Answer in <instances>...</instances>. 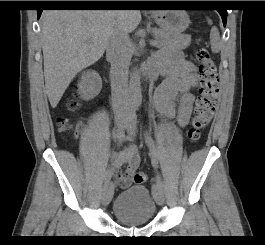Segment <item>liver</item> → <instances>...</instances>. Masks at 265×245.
<instances>
[{"instance_id":"6515ba94","label":"liver","mask_w":265,"mask_h":245,"mask_svg":"<svg viewBox=\"0 0 265 245\" xmlns=\"http://www.w3.org/2000/svg\"><path fill=\"white\" fill-rule=\"evenodd\" d=\"M138 10H46L41 16L45 88L55 108L74 77L104 54L113 30L131 33Z\"/></svg>"}]
</instances>
